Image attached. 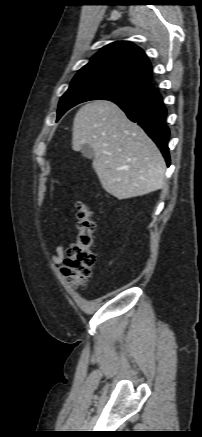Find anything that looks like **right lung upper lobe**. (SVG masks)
Returning a JSON list of instances; mask_svg holds the SVG:
<instances>
[{"mask_svg": "<svg viewBox=\"0 0 202 437\" xmlns=\"http://www.w3.org/2000/svg\"><path fill=\"white\" fill-rule=\"evenodd\" d=\"M108 71L138 81H151V64L141 48L128 41H116L103 47L79 72Z\"/></svg>", "mask_w": 202, "mask_h": 437, "instance_id": "right-lung-upper-lobe-1", "label": "right lung upper lobe"}]
</instances>
